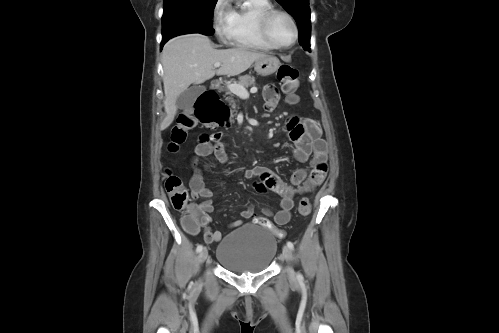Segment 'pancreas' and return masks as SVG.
Listing matches in <instances>:
<instances>
[{
  "mask_svg": "<svg viewBox=\"0 0 499 333\" xmlns=\"http://www.w3.org/2000/svg\"><path fill=\"white\" fill-rule=\"evenodd\" d=\"M237 84H240V85L245 86V87L253 86V85H255V78L251 75H244V76H241L239 78V81L237 82ZM226 95L231 96V97L227 98V101L231 105L232 109H234L236 107V105H235L234 99L232 98V96H233L232 92L229 90H226ZM234 111L235 110H233V112Z\"/></svg>",
  "mask_w": 499,
  "mask_h": 333,
  "instance_id": "cf45deb5",
  "label": "pancreas"
}]
</instances>
